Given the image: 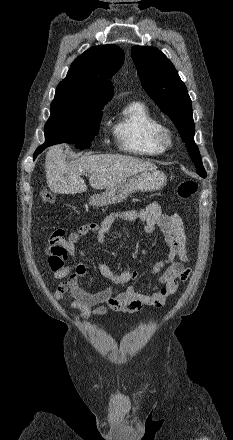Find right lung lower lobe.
<instances>
[{
    "label": "right lung lower lobe",
    "instance_id": "1",
    "mask_svg": "<svg viewBox=\"0 0 233 440\" xmlns=\"http://www.w3.org/2000/svg\"><path fill=\"white\" fill-rule=\"evenodd\" d=\"M46 147H48L47 145H42V146H40V147H38L37 148V150L35 151V153H34V159L36 158V156L38 155V154H40Z\"/></svg>",
    "mask_w": 233,
    "mask_h": 440
}]
</instances>
